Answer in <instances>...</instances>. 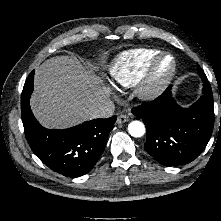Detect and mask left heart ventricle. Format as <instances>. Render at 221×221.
I'll list each match as a JSON object with an SVG mask.
<instances>
[{"label": "left heart ventricle", "mask_w": 221, "mask_h": 221, "mask_svg": "<svg viewBox=\"0 0 221 221\" xmlns=\"http://www.w3.org/2000/svg\"><path fill=\"white\" fill-rule=\"evenodd\" d=\"M169 67H170V60L169 59L163 60L159 66L158 75L163 76L168 71Z\"/></svg>", "instance_id": "obj_1"}]
</instances>
